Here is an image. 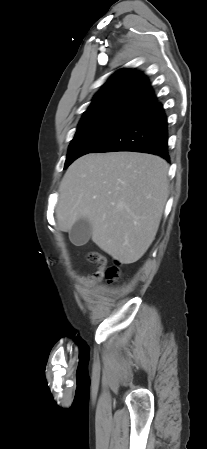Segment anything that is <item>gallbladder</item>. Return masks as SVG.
Masks as SVG:
<instances>
[{"label": "gallbladder", "mask_w": 207, "mask_h": 449, "mask_svg": "<svg viewBox=\"0 0 207 449\" xmlns=\"http://www.w3.org/2000/svg\"><path fill=\"white\" fill-rule=\"evenodd\" d=\"M92 233L91 223L81 218L77 220L69 231L70 241L76 246H82L88 242Z\"/></svg>", "instance_id": "bac80fb5"}]
</instances>
